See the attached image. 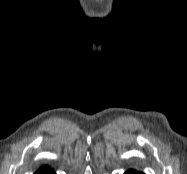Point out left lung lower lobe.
Instances as JSON below:
<instances>
[{
    "instance_id": "obj_1",
    "label": "left lung lower lobe",
    "mask_w": 187,
    "mask_h": 174,
    "mask_svg": "<svg viewBox=\"0 0 187 174\" xmlns=\"http://www.w3.org/2000/svg\"><path fill=\"white\" fill-rule=\"evenodd\" d=\"M125 174H143L142 172H137L136 170H129Z\"/></svg>"
}]
</instances>
